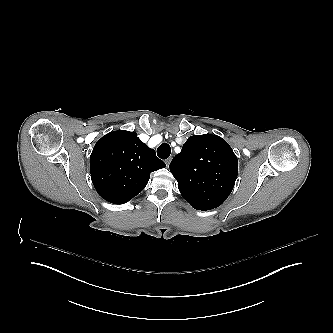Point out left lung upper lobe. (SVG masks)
Here are the masks:
<instances>
[{
	"label": "left lung upper lobe",
	"mask_w": 333,
	"mask_h": 333,
	"mask_svg": "<svg viewBox=\"0 0 333 333\" xmlns=\"http://www.w3.org/2000/svg\"><path fill=\"white\" fill-rule=\"evenodd\" d=\"M183 198L197 210L220 206L231 193L238 160L229 144L217 135L188 138L169 165Z\"/></svg>",
	"instance_id": "1"
}]
</instances>
